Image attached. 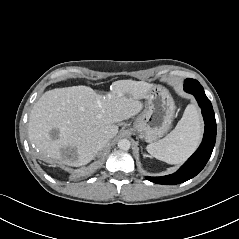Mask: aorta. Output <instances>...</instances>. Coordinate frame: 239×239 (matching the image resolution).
Listing matches in <instances>:
<instances>
[{"label":"aorta","instance_id":"762f6f07","mask_svg":"<svg viewBox=\"0 0 239 239\" xmlns=\"http://www.w3.org/2000/svg\"><path fill=\"white\" fill-rule=\"evenodd\" d=\"M130 145H131V143L128 139H122L118 142V148L120 150H125V151L129 150Z\"/></svg>","mask_w":239,"mask_h":239}]
</instances>
